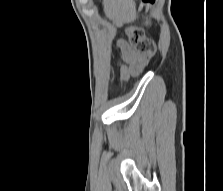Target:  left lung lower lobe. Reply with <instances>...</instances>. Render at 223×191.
Listing matches in <instances>:
<instances>
[{
  "label": "left lung lower lobe",
  "instance_id": "left-lung-lower-lobe-1",
  "mask_svg": "<svg viewBox=\"0 0 223 191\" xmlns=\"http://www.w3.org/2000/svg\"><path fill=\"white\" fill-rule=\"evenodd\" d=\"M144 2H151V3H153L154 2V0H143Z\"/></svg>",
  "mask_w": 223,
  "mask_h": 191
}]
</instances>
